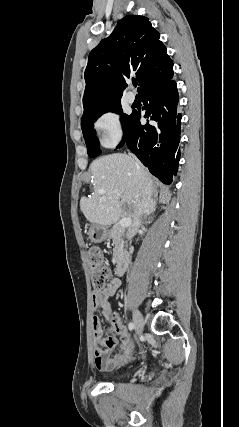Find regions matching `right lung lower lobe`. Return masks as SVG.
Wrapping results in <instances>:
<instances>
[{
    "label": "right lung lower lobe",
    "instance_id": "right-lung-lower-lobe-1",
    "mask_svg": "<svg viewBox=\"0 0 239 427\" xmlns=\"http://www.w3.org/2000/svg\"><path fill=\"white\" fill-rule=\"evenodd\" d=\"M172 78L173 71L139 92L145 104L144 117L151 123L142 125L140 114L132 113L124 139V143L126 141L128 148L149 171L167 185L171 184L178 170L182 117L178 112L176 82Z\"/></svg>",
    "mask_w": 239,
    "mask_h": 427
}]
</instances>
